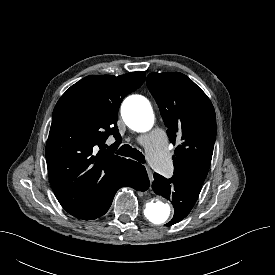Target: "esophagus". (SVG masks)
Here are the masks:
<instances>
[{
  "label": "esophagus",
  "instance_id": "1",
  "mask_svg": "<svg viewBox=\"0 0 275 275\" xmlns=\"http://www.w3.org/2000/svg\"><path fill=\"white\" fill-rule=\"evenodd\" d=\"M146 171H147V174H148V177H149L150 181H152L153 173H152L151 169L146 166Z\"/></svg>",
  "mask_w": 275,
  "mask_h": 275
}]
</instances>
